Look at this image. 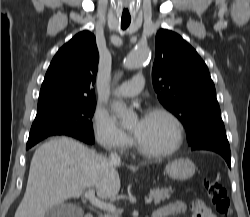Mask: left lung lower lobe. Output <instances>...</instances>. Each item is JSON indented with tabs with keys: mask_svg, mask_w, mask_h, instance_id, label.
Returning <instances> with one entry per match:
<instances>
[{
	"mask_svg": "<svg viewBox=\"0 0 250 217\" xmlns=\"http://www.w3.org/2000/svg\"><path fill=\"white\" fill-rule=\"evenodd\" d=\"M192 150H210L219 153L230 167L231 152L223 122H216L202 129L188 141Z\"/></svg>",
	"mask_w": 250,
	"mask_h": 217,
	"instance_id": "obj_1",
	"label": "left lung lower lobe"
}]
</instances>
